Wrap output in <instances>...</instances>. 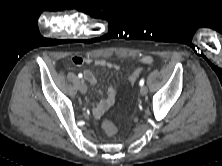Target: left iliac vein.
<instances>
[{"label": "left iliac vein", "instance_id": "4c4485c4", "mask_svg": "<svg viewBox=\"0 0 222 166\" xmlns=\"http://www.w3.org/2000/svg\"><path fill=\"white\" fill-rule=\"evenodd\" d=\"M147 92H148V88H147L146 86H141V88H140V93H141L142 95H146Z\"/></svg>", "mask_w": 222, "mask_h": 166}]
</instances>
